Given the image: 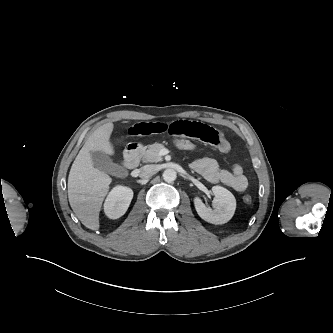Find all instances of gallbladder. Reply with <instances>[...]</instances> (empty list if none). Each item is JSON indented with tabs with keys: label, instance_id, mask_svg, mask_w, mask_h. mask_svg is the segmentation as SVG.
Returning <instances> with one entry per match:
<instances>
[{
	"label": "gallbladder",
	"instance_id": "obj_1",
	"mask_svg": "<svg viewBox=\"0 0 333 333\" xmlns=\"http://www.w3.org/2000/svg\"><path fill=\"white\" fill-rule=\"evenodd\" d=\"M91 158L93 165L110 175L119 176L121 172L124 171V168L117 163H114L109 156L103 151H92Z\"/></svg>",
	"mask_w": 333,
	"mask_h": 333
}]
</instances>
